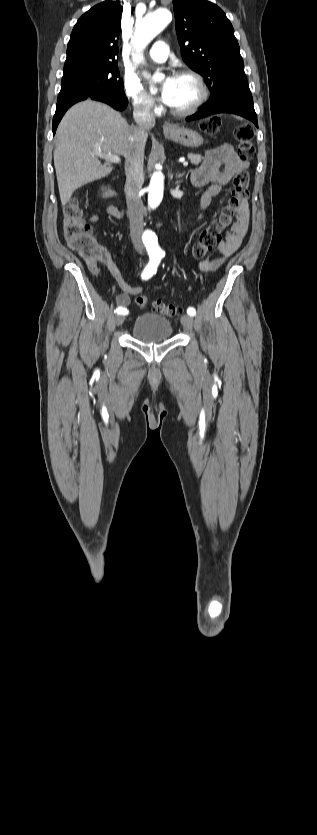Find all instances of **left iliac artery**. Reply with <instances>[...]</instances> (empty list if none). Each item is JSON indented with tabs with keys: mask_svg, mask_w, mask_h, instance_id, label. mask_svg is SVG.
Segmentation results:
<instances>
[{
	"mask_svg": "<svg viewBox=\"0 0 317 835\" xmlns=\"http://www.w3.org/2000/svg\"><path fill=\"white\" fill-rule=\"evenodd\" d=\"M164 254H165V253H163V252H162V253L160 254V257H163V256H164ZM187 313H188V315H190V316H194V315L196 314V311H195V309H194L193 307H189V308L187 309Z\"/></svg>",
	"mask_w": 317,
	"mask_h": 835,
	"instance_id": "left-iliac-artery-1",
	"label": "left iliac artery"
}]
</instances>
